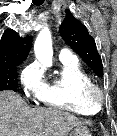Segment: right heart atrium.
Wrapping results in <instances>:
<instances>
[{"label": "right heart atrium", "instance_id": "right-heart-atrium-1", "mask_svg": "<svg viewBox=\"0 0 117 136\" xmlns=\"http://www.w3.org/2000/svg\"><path fill=\"white\" fill-rule=\"evenodd\" d=\"M20 81L23 86L25 95L34 96L41 100L45 91L43 72L35 64L28 65L20 75Z\"/></svg>", "mask_w": 117, "mask_h": 136}]
</instances>
